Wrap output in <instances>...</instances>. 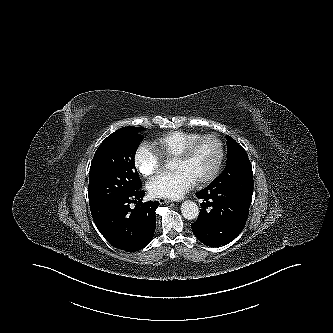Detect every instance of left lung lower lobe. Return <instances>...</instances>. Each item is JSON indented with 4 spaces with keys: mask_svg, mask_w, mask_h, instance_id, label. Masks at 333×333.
Segmentation results:
<instances>
[{
    "mask_svg": "<svg viewBox=\"0 0 333 333\" xmlns=\"http://www.w3.org/2000/svg\"><path fill=\"white\" fill-rule=\"evenodd\" d=\"M195 195L204 202L191 227L203 244L212 247L226 245L241 233L252 197L235 192L226 180L213 181Z\"/></svg>",
    "mask_w": 333,
    "mask_h": 333,
    "instance_id": "left-lung-lower-lobe-1",
    "label": "left lung lower lobe"
}]
</instances>
